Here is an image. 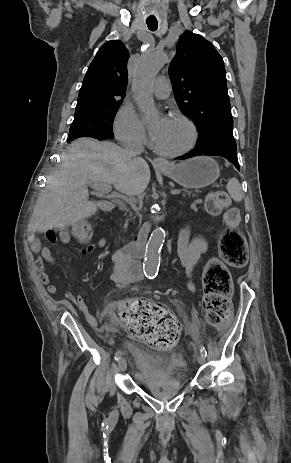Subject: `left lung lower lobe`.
I'll list each match as a JSON object with an SVG mask.
<instances>
[{
  "instance_id": "obj_1",
  "label": "left lung lower lobe",
  "mask_w": 291,
  "mask_h": 463,
  "mask_svg": "<svg viewBox=\"0 0 291 463\" xmlns=\"http://www.w3.org/2000/svg\"><path fill=\"white\" fill-rule=\"evenodd\" d=\"M209 155V156H221L230 161L238 170L239 163L237 158L236 149L218 146H204L197 144L196 148L191 152L179 157L178 159H187L194 156Z\"/></svg>"
}]
</instances>
